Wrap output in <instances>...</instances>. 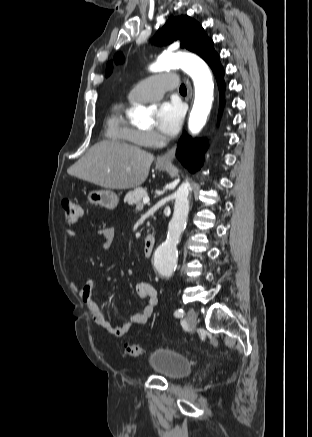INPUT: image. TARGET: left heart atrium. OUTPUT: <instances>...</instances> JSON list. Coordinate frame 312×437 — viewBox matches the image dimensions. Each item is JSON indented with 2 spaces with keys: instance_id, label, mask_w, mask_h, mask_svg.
Listing matches in <instances>:
<instances>
[{
  "instance_id": "obj_1",
  "label": "left heart atrium",
  "mask_w": 312,
  "mask_h": 437,
  "mask_svg": "<svg viewBox=\"0 0 312 437\" xmlns=\"http://www.w3.org/2000/svg\"><path fill=\"white\" fill-rule=\"evenodd\" d=\"M183 108L178 102H164L156 111L157 128L165 135H175L182 123Z\"/></svg>"
}]
</instances>
